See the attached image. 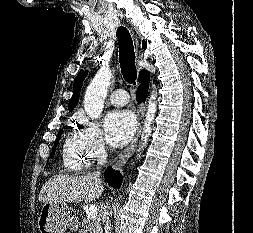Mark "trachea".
Wrapping results in <instances>:
<instances>
[{
    "label": "trachea",
    "mask_w": 253,
    "mask_h": 233,
    "mask_svg": "<svg viewBox=\"0 0 253 233\" xmlns=\"http://www.w3.org/2000/svg\"><path fill=\"white\" fill-rule=\"evenodd\" d=\"M116 34L119 43V62L123 78L129 84H135L137 72L131 35L125 27H119Z\"/></svg>",
    "instance_id": "3493384b"
}]
</instances>
